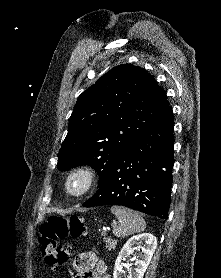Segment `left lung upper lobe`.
<instances>
[{"label": "left lung upper lobe", "mask_w": 221, "mask_h": 278, "mask_svg": "<svg viewBox=\"0 0 221 278\" xmlns=\"http://www.w3.org/2000/svg\"><path fill=\"white\" fill-rule=\"evenodd\" d=\"M169 109L165 92L144 69L114 67L79 96L58 154V169L88 164L100 182L121 151Z\"/></svg>", "instance_id": "1"}]
</instances>
